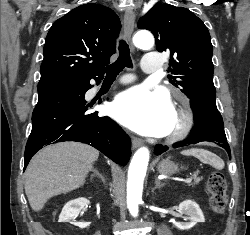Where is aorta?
I'll list each match as a JSON object with an SVG mask.
<instances>
[{"instance_id": "762f6f07", "label": "aorta", "mask_w": 250, "mask_h": 235, "mask_svg": "<svg viewBox=\"0 0 250 235\" xmlns=\"http://www.w3.org/2000/svg\"><path fill=\"white\" fill-rule=\"evenodd\" d=\"M133 43L140 49H151L154 45V37L148 31H139L133 37ZM149 150L146 147L139 148L130 163L127 182V206L132 216H138V206L142 200L143 181L145 178Z\"/></svg>"}]
</instances>
